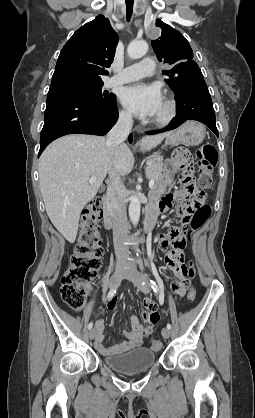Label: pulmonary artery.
Segmentation results:
<instances>
[{
  "mask_svg": "<svg viewBox=\"0 0 255 418\" xmlns=\"http://www.w3.org/2000/svg\"><path fill=\"white\" fill-rule=\"evenodd\" d=\"M155 62L153 59L146 57L139 63L130 65L121 69L115 76L111 77L107 82L108 86L124 84L150 76L154 73Z\"/></svg>",
  "mask_w": 255,
  "mask_h": 418,
  "instance_id": "1",
  "label": "pulmonary artery"
}]
</instances>
